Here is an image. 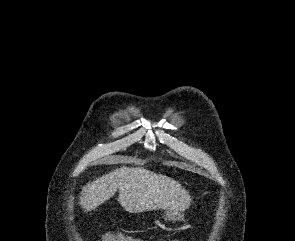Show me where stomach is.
<instances>
[{
    "label": "stomach",
    "mask_w": 295,
    "mask_h": 241,
    "mask_svg": "<svg viewBox=\"0 0 295 241\" xmlns=\"http://www.w3.org/2000/svg\"><path fill=\"white\" fill-rule=\"evenodd\" d=\"M165 219L176 221L183 220V215L179 211L167 210L164 214Z\"/></svg>",
    "instance_id": "0dacf381"
}]
</instances>
